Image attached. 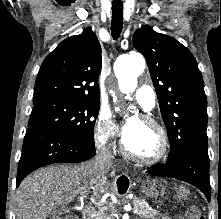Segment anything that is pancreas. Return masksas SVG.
Here are the masks:
<instances>
[{
    "label": "pancreas",
    "mask_w": 221,
    "mask_h": 219,
    "mask_svg": "<svg viewBox=\"0 0 221 219\" xmlns=\"http://www.w3.org/2000/svg\"><path fill=\"white\" fill-rule=\"evenodd\" d=\"M133 209H136L138 214L141 218H151L155 219L159 212L156 210H153L144 199L135 198L133 200ZM91 219H112L108 216L107 212L105 210L99 211L97 214H95Z\"/></svg>",
    "instance_id": "cf45deb5"
}]
</instances>
